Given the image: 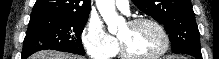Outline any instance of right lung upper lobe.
Masks as SVG:
<instances>
[{"instance_id":"cb5924a9","label":"right lung upper lobe","mask_w":219,"mask_h":59,"mask_svg":"<svg viewBox=\"0 0 219 59\" xmlns=\"http://www.w3.org/2000/svg\"><path fill=\"white\" fill-rule=\"evenodd\" d=\"M90 0H37L31 14L89 16Z\"/></svg>"}]
</instances>
